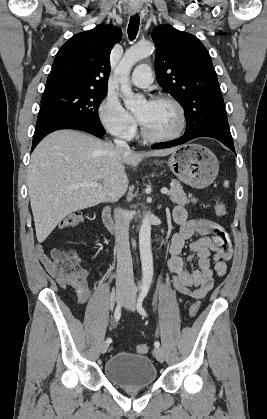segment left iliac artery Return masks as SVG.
<instances>
[{
  "label": "left iliac artery",
  "instance_id": "44dca946",
  "mask_svg": "<svg viewBox=\"0 0 267 419\" xmlns=\"http://www.w3.org/2000/svg\"><path fill=\"white\" fill-rule=\"evenodd\" d=\"M148 291H149V287H143L137 300V310L142 316H145V317L147 316V313L142 306V302L144 298L147 296ZM154 346L159 347L160 346L159 341L154 342Z\"/></svg>",
  "mask_w": 267,
  "mask_h": 419
}]
</instances>
